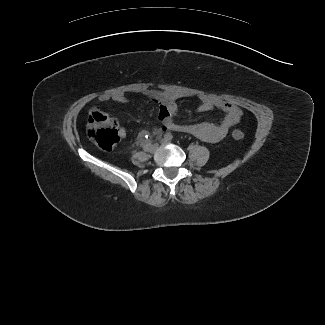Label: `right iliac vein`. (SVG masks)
Wrapping results in <instances>:
<instances>
[{"instance_id":"1","label":"right iliac vein","mask_w":325,"mask_h":325,"mask_svg":"<svg viewBox=\"0 0 325 325\" xmlns=\"http://www.w3.org/2000/svg\"><path fill=\"white\" fill-rule=\"evenodd\" d=\"M158 149V146L157 145H151L149 148H148V152H150L151 154L155 153Z\"/></svg>"}]
</instances>
